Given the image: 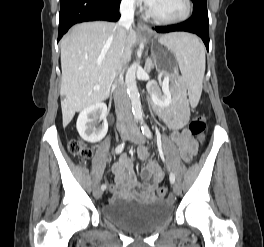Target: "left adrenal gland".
<instances>
[{"label": "left adrenal gland", "instance_id": "left-adrenal-gland-1", "mask_svg": "<svg viewBox=\"0 0 264 247\" xmlns=\"http://www.w3.org/2000/svg\"><path fill=\"white\" fill-rule=\"evenodd\" d=\"M151 66H152V62H151V59H149V62H148V65H147V71L150 70Z\"/></svg>", "mask_w": 264, "mask_h": 247}]
</instances>
